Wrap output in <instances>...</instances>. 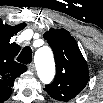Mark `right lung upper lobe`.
Segmentation results:
<instances>
[{
  "mask_svg": "<svg viewBox=\"0 0 103 103\" xmlns=\"http://www.w3.org/2000/svg\"><path fill=\"white\" fill-rule=\"evenodd\" d=\"M26 23L9 26L0 22V93L7 96L11 93L14 79L26 71L25 65L19 64L14 57L19 52V46L10 44V37L22 30Z\"/></svg>",
  "mask_w": 103,
  "mask_h": 103,
  "instance_id": "right-lung-upper-lobe-1",
  "label": "right lung upper lobe"
}]
</instances>
